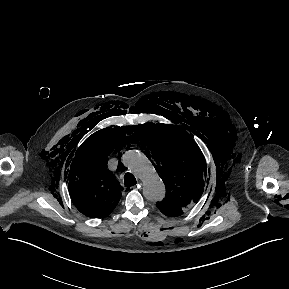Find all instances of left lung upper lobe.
I'll use <instances>...</instances> for the list:
<instances>
[{
    "instance_id": "obj_1",
    "label": "left lung upper lobe",
    "mask_w": 289,
    "mask_h": 289,
    "mask_svg": "<svg viewBox=\"0 0 289 289\" xmlns=\"http://www.w3.org/2000/svg\"><path fill=\"white\" fill-rule=\"evenodd\" d=\"M142 149L165 182L167 194L158 209L176 216L196 203L203 193L206 161L191 136L183 129L166 124L140 126Z\"/></svg>"
}]
</instances>
